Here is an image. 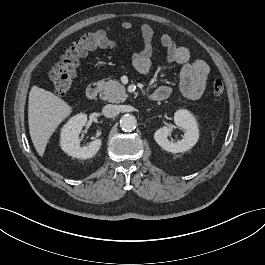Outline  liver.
<instances>
[{
	"instance_id": "6515ba94",
	"label": "liver",
	"mask_w": 265,
	"mask_h": 265,
	"mask_svg": "<svg viewBox=\"0 0 265 265\" xmlns=\"http://www.w3.org/2000/svg\"><path fill=\"white\" fill-rule=\"evenodd\" d=\"M72 111L63 99L45 89L33 86L29 93L28 124L33 145L40 156L59 124Z\"/></svg>"
}]
</instances>
